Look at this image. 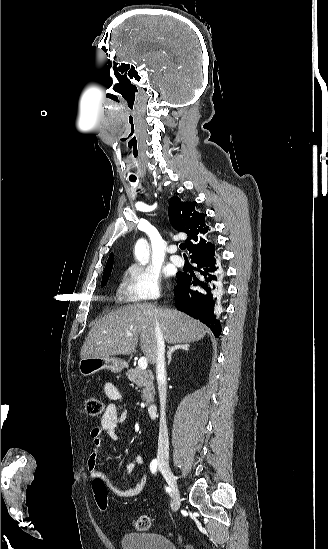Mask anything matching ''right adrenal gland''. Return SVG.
I'll list each match as a JSON object with an SVG mask.
<instances>
[{
  "label": "right adrenal gland",
  "mask_w": 328,
  "mask_h": 549,
  "mask_svg": "<svg viewBox=\"0 0 328 549\" xmlns=\"http://www.w3.org/2000/svg\"><path fill=\"white\" fill-rule=\"evenodd\" d=\"M189 347H190V345H176V347H169V351L167 353V355H168V365H169V363H171L172 353H174V351H178V349H182V351H189Z\"/></svg>",
  "instance_id": "2a0ac1e0"
}]
</instances>
